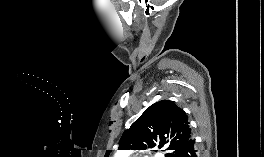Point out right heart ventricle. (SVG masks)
<instances>
[{"label":"right heart ventricle","mask_w":264,"mask_h":157,"mask_svg":"<svg viewBox=\"0 0 264 157\" xmlns=\"http://www.w3.org/2000/svg\"><path fill=\"white\" fill-rule=\"evenodd\" d=\"M115 157H126V156H123L122 154H117Z\"/></svg>","instance_id":"1"}]
</instances>
